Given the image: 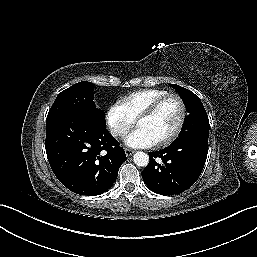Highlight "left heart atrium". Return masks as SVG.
<instances>
[{
	"label": "left heart atrium",
	"mask_w": 257,
	"mask_h": 257,
	"mask_svg": "<svg viewBox=\"0 0 257 257\" xmlns=\"http://www.w3.org/2000/svg\"><path fill=\"white\" fill-rule=\"evenodd\" d=\"M124 141L126 145L133 148H148L157 143L145 129L140 127L129 133Z\"/></svg>",
	"instance_id": "39dd6f15"
}]
</instances>
